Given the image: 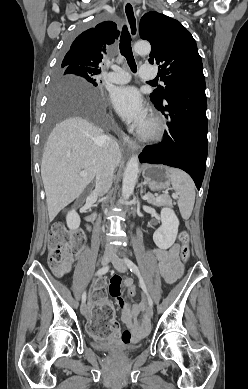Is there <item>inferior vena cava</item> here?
I'll return each mask as SVG.
<instances>
[{
	"instance_id": "obj_1",
	"label": "inferior vena cava",
	"mask_w": 248,
	"mask_h": 389,
	"mask_svg": "<svg viewBox=\"0 0 248 389\" xmlns=\"http://www.w3.org/2000/svg\"><path fill=\"white\" fill-rule=\"evenodd\" d=\"M119 152L118 143L114 139L108 137L105 141L96 172V186L94 192L99 196L106 194L112 185ZM106 251L114 253V247L110 244H106Z\"/></svg>"
}]
</instances>
